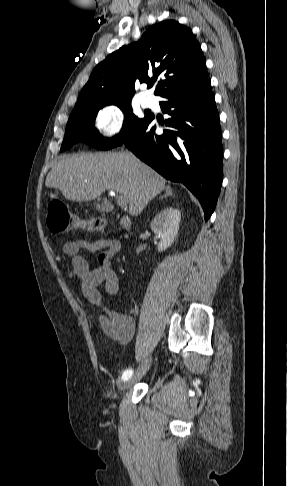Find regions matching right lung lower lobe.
I'll list each match as a JSON object with an SVG mask.
<instances>
[{
    "label": "right lung lower lobe",
    "mask_w": 287,
    "mask_h": 486,
    "mask_svg": "<svg viewBox=\"0 0 287 486\" xmlns=\"http://www.w3.org/2000/svg\"><path fill=\"white\" fill-rule=\"evenodd\" d=\"M162 97L160 106L170 116L164 122L168 129L157 135L150 114L122 144L166 179L183 183L199 199L208 220L223 179L221 128L211 81Z\"/></svg>",
    "instance_id": "1"
}]
</instances>
